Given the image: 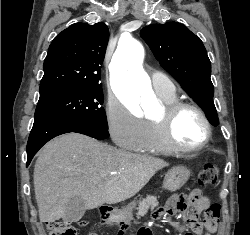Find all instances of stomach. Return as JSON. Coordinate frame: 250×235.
<instances>
[{
  "mask_svg": "<svg viewBox=\"0 0 250 235\" xmlns=\"http://www.w3.org/2000/svg\"><path fill=\"white\" fill-rule=\"evenodd\" d=\"M190 170L185 166H175L168 171L163 182V188L169 192H176L188 181ZM134 203L127 208L117 212L116 219L129 220Z\"/></svg>",
  "mask_w": 250,
  "mask_h": 235,
  "instance_id": "stomach-1",
  "label": "stomach"
}]
</instances>
